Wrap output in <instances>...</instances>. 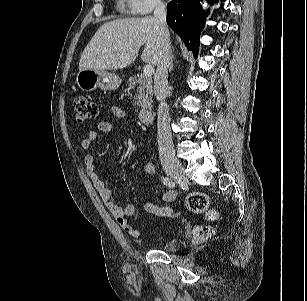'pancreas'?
Masks as SVG:
<instances>
[{"mask_svg": "<svg viewBox=\"0 0 307 301\" xmlns=\"http://www.w3.org/2000/svg\"><path fill=\"white\" fill-rule=\"evenodd\" d=\"M128 82L130 87L136 88V94L134 98L135 105L139 106L142 104V101L151 100L153 94L151 78L145 76L144 74H138L130 77Z\"/></svg>", "mask_w": 307, "mask_h": 301, "instance_id": "pancreas-1", "label": "pancreas"}]
</instances>
